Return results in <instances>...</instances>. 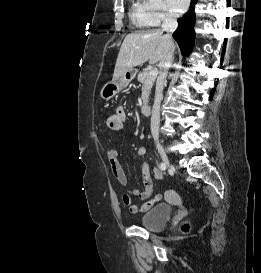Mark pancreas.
<instances>
[{
  "label": "pancreas",
  "mask_w": 261,
  "mask_h": 273,
  "mask_svg": "<svg viewBox=\"0 0 261 273\" xmlns=\"http://www.w3.org/2000/svg\"><path fill=\"white\" fill-rule=\"evenodd\" d=\"M137 79L140 83H142V101L143 103H147L156 77L150 76L149 71H142L138 74Z\"/></svg>",
  "instance_id": "pancreas-1"
}]
</instances>
